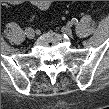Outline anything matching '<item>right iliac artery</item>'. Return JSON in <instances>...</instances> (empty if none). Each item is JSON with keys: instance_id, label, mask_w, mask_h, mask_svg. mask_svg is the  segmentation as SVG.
<instances>
[{"instance_id": "right-iliac-artery-1", "label": "right iliac artery", "mask_w": 109, "mask_h": 109, "mask_svg": "<svg viewBox=\"0 0 109 109\" xmlns=\"http://www.w3.org/2000/svg\"><path fill=\"white\" fill-rule=\"evenodd\" d=\"M30 29H32V28H31V27H27L25 31H28V30H30Z\"/></svg>"}]
</instances>
